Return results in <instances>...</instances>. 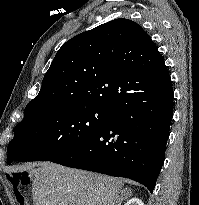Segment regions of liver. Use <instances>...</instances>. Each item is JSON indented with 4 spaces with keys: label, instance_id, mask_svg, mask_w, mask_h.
<instances>
[{
    "label": "liver",
    "instance_id": "1",
    "mask_svg": "<svg viewBox=\"0 0 199 205\" xmlns=\"http://www.w3.org/2000/svg\"><path fill=\"white\" fill-rule=\"evenodd\" d=\"M32 173L35 205H121L131 195L120 179L51 162L39 163Z\"/></svg>",
    "mask_w": 199,
    "mask_h": 205
}]
</instances>
